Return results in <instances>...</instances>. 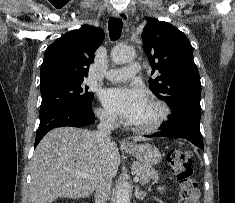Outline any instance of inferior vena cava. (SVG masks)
I'll return each mask as SVG.
<instances>
[{
    "instance_id": "1",
    "label": "inferior vena cava",
    "mask_w": 235,
    "mask_h": 203,
    "mask_svg": "<svg viewBox=\"0 0 235 203\" xmlns=\"http://www.w3.org/2000/svg\"><path fill=\"white\" fill-rule=\"evenodd\" d=\"M100 124L98 125V130L95 132L96 137L103 144L110 142L111 130L114 129L116 125L115 116L108 114H101L99 116ZM112 179L108 174H104L96 186L95 193V203H106L108 195L111 189Z\"/></svg>"
}]
</instances>
